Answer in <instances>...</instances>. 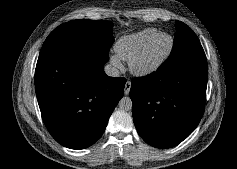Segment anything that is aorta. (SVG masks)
Masks as SVG:
<instances>
[{
	"instance_id": "1",
	"label": "aorta",
	"mask_w": 237,
	"mask_h": 169,
	"mask_svg": "<svg viewBox=\"0 0 237 169\" xmlns=\"http://www.w3.org/2000/svg\"><path fill=\"white\" fill-rule=\"evenodd\" d=\"M132 100L130 99V97H123L120 99L118 106L121 110L123 111H129L132 109Z\"/></svg>"
}]
</instances>
